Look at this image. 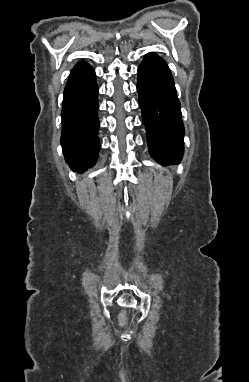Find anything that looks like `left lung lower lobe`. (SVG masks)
<instances>
[{"mask_svg": "<svg viewBox=\"0 0 249 382\" xmlns=\"http://www.w3.org/2000/svg\"><path fill=\"white\" fill-rule=\"evenodd\" d=\"M137 90L150 155L159 163H175L184 152V126L174 79L166 62L154 52L138 68Z\"/></svg>", "mask_w": 249, "mask_h": 382, "instance_id": "0a47b994", "label": "left lung lower lobe"}]
</instances>
